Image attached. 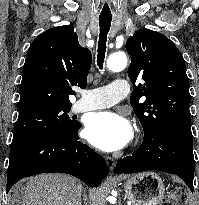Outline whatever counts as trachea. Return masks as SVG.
<instances>
[{"mask_svg": "<svg viewBox=\"0 0 199 205\" xmlns=\"http://www.w3.org/2000/svg\"><path fill=\"white\" fill-rule=\"evenodd\" d=\"M112 17L99 16L100 35L98 41L97 65L103 69V63L106 53L107 34L111 26Z\"/></svg>", "mask_w": 199, "mask_h": 205, "instance_id": "1", "label": "trachea"}]
</instances>
